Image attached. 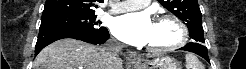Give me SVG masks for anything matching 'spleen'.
Segmentation results:
<instances>
[{
	"label": "spleen",
	"instance_id": "obj_1",
	"mask_svg": "<svg viewBox=\"0 0 246 69\" xmlns=\"http://www.w3.org/2000/svg\"><path fill=\"white\" fill-rule=\"evenodd\" d=\"M185 60H186V69H205L204 65L192 53H187L185 55Z\"/></svg>",
	"mask_w": 246,
	"mask_h": 69
}]
</instances>
